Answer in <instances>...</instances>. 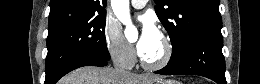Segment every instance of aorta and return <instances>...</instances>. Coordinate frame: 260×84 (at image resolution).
Instances as JSON below:
<instances>
[{"label":"aorta","mask_w":260,"mask_h":84,"mask_svg":"<svg viewBox=\"0 0 260 84\" xmlns=\"http://www.w3.org/2000/svg\"><path fill=\"white\" fill-rule=\"evenodd\" d=\"M111 6L115 16L126 25L125 36L128 40L136 39L137 29L132 25L128 0H111Z\"/></svg>","instance_id":"obj_1"}]
</instances>
